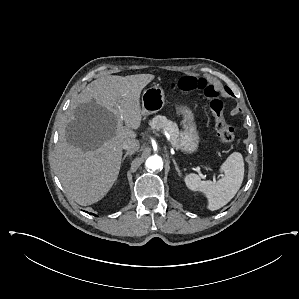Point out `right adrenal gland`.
I'll return each instance as SVG.
<instances>
[{
  "label": "right adrenal gland",
  "instance_id": "obj_1",
  "mask_svg": "<svg viewBox=\"0 0 299 299\" xmlns=\"http://www.w3.org/2000/svg\"><path fill=\"white\" fill-rule=\"evenodd\" d=\"M132 154H133V152L127 151V152L125 153V155L123 156V158H122V162L125 160V158H126L127 156H130V155H132Z\"/></svg>",
  "mask_w": 299,
  "mask_h": 299
}]
</instances>
